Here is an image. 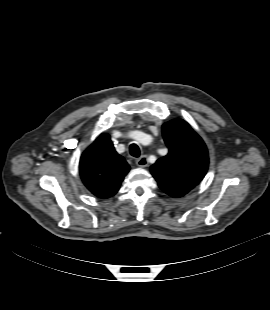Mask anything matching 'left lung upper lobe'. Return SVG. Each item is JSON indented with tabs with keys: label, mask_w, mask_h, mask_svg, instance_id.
Wrapping results in <instances>:
<instances>
[{
	"label": "left lung upper lobe",
	"mask_w": 270,
	"mask_h": 310,
	"mask_svg": "<svg viewBox=\"0 0 270 310\" xmlns=\"http://www.w3.org/2000/svg\"><path fill=\"white\" fill-rule=\"evenodd\" d=\"M162 132L169 153L151 166V173L164 192H189L207 172V148L200 136L182 119L165 123Z\"/></svg>",
	"instance_id": "1"
}]
</instances>
